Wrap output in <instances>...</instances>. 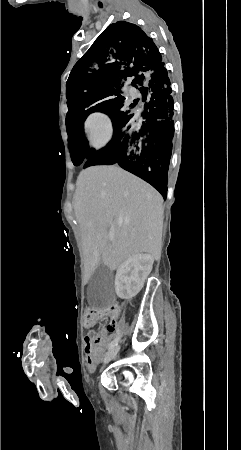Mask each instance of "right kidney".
I'll return each mask as SVG.
<instances>
[{
  "label": "right kidney",
  "instance_id": "1",
  "mask_svg": "<svg viewBox=\"0 0 241 450\" xmlns=\"http://www.w3.org/2000/svg\"><path fill=\"white\" fill-rule=\"evenodd\" d=\"M154 258L150 254H133L119 266L115 276V292L122 300H132L148 278Z\"/></svg>",
  "mask_w": 241,
  "mask_h": 450
}]
</instances>
